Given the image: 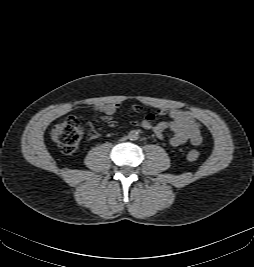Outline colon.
I'll return each instance as SVG.
<instances>
[{
	"label": "colon",
	"instance_id": "colon-1",
	"mask_svg": "<svg viewBox=\"0 0 254 267\" xmlns=\"http://www.w3.org/2000/svg\"><path fill=\"white\" fill-rule=\"evenodd\" d=\"M82 134L83 130L81 124L74 117H69L54 125L51 130L52 139L65 154H71L77 149ZM199 156V152L195 149L190 150L187 154L189 161H196Z\"/></svg>",
	"mask_w": 254,
	"mask_h": 267
}]
</instances>
